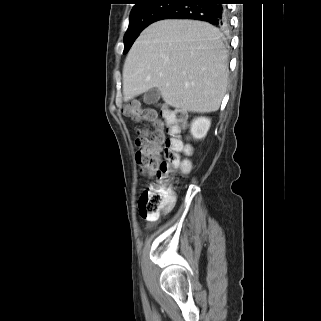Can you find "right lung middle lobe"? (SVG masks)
I'll list each match as a JSON object with an SVG mask.
<instances>
[{"instance_id":"right-lung-middle-lobe-1","label":"right lung middle lobe","mask_w":321,"mask_h":321,"mask_svg":"<svg viewBox=\"0 0 321 321\" xmlns=\"http://www.w3.org/2000/svg\"><path fill=\"white\" fill-rule=\"evenodd\" d=\"M178 0H151L132 8L129 26L124 35V54L128 52L139 34L150 24L177 4Z\"/></svg>"}]
</instances>
